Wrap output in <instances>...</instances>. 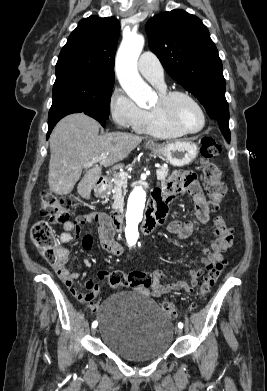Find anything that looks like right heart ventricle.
I'll return each instance as SVG.
<instances>
[{"mask_svg": "<svg viewBox=\"0 0 267 391\" xmlns=\"http://www.w3.org/2000/svg\"><path fill=\"white\" fill-rule=\"evenodd\" d=\"M161 93L165 88L160 89ZM135 130L139 133L151 135L157 138H177L183 135L180 131L174 129L164 122L156 113L154 108L144 110L142 121L137 125Z\"/></svg>", "mask_w": 267, "mask_h": 391, "instance_id": "right-heart-ventricle-1", "label": "right heart ventricle"}]
</instances>
